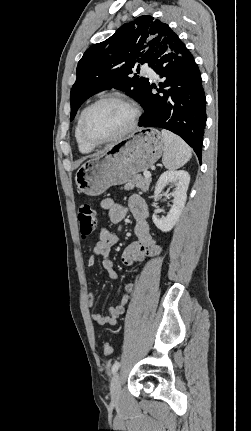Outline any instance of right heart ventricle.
Returning a JSON list of instances; mask_svg holds the SVG:
<instances>
[{
	"mask_svg": "<svg viewBox=\"0 0 251 431\" xmlns=\"http://www.w3.org/2000/svg\"><path fill=\"white\" fill-rule=\"evenodd\" d=\"M87 107H84L77 118V122H76V126H75V139L78 145V148L80 150V152L82 153H90L94 150L95 147L88 145L81 137V133H80V121H81V117L83 112L85 111Z\"/></svg>",
	"mask_w": 251,
	"mask_h": 431,
	"instance_id": "e07e8e85",
	"label": "right heart ventricle"
}]
</instances>
